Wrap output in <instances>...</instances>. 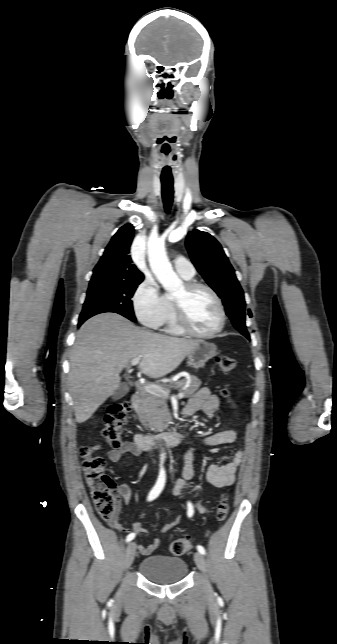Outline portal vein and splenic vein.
<instances>
[{
  "mask_svg": "<svg viewBox=\"0 0 337 644\" xmlns=\"http://www.w3.org/2000/svg\"><path fill=\"white\" fill-rule=\"evenodd\" d=\"M140 360H141V357H136V358L132 359L131 363H130L131 366L137 365L140 362ZM143 389L145 391H147L148 393H151V394H156V395L157 394H163L166 397L169 396V391L164 389V388H162L159 385H155V384L145 385L143 387ZM183 397H184V393H182V392L177 395L178 399H182Z\"/></svg>",
  "mask_w": 337,
  "mask_h": 644,
  "instance_id": "1",
  "label": "portal vein and splenic vein"
}]
</instances>
